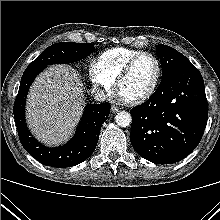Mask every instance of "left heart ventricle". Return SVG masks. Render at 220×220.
Listing matches in <instances>:
<instances>
[{
	"label": "left heart ventricle",
	"mask_w": 220,
	"mask_h": 220,
	"mask_svg": "<svg viewBox=\"0 0 220 220\" xmlns=\"http://www.w3.org/2000/svg\"><path fill=\"white\" fill-rule=\"evenodd\" d=\"M156 75V64L150 57L137 60L119 87V94L125 99H133L144 94L152 85Z\"/></svg>",
	"instance_id": "left-heart-ventricle-1"
}]
</instances>
